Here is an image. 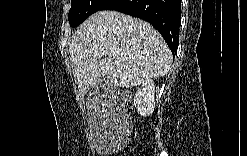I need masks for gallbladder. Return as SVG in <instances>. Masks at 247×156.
I'll use <instances>...</instances> for the list:
<instances>
[{"instance_id": "1", "label": "gallbladder", "mask_w": 247, "mask_h": 156, "mask_svg": "<svg viewBox=\"0 0 247 156\" xmlns=\"http://www.w3.org/2000/svg\"><path fill=\"white\" fill-rule=\"evenodd\" d=\"M97 87H104L107 91H112L115 87L108 81L106 76H101L94 83Z\"/></svg>"}]
</instances>
